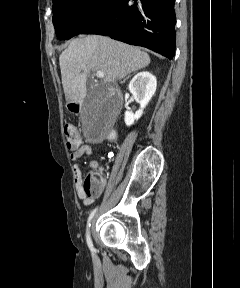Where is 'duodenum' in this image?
Instances as JSON below:
<instances>
[{"label": "duodenum", "mask_w": 240, "mask_h": 288, "mask_svg": "<svg viewBox=\"0 0 240 288\" xmlns=\"http://www.w3.org/2000/svg\"><path fill=\"white\" fill-rule=\"evenodd\" d=\"M114 136H115V134L112 132V133L110 134V138H114Z\"/></svg>", "instance_id": "410a0bca"}]
</instances>
